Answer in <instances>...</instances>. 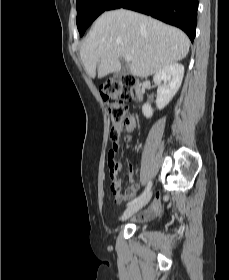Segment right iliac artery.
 Masks as SVG:
<instances>
[{
    "label": "right iliac artery",
    "mask_w": 229,
    "mask_h": 280,
    "mask_svg": "<svg viewBox=\"0 0 229 280\" xmlns=\"http://www.w3.org/2000/svg\"><path fill=\"white\" fill-rule=\"evenodd\" d=\"M151 186H152V182L149 181L147 186H146V188H145V190L143 191V193L139 197H137L134 200H132L131 202H129L127 204V206L129 207V206L135 204L136 202H138L139 200H141L142 198H144L149 193V191L151 189Z\"/></svg>",
    "instance_id": "1"
}]
</instances>
